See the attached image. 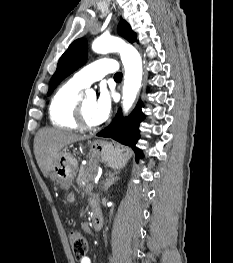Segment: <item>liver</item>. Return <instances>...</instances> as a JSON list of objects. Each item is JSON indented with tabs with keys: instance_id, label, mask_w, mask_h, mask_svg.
<instances>
[{
	"instance_id": "liver-1",
	"label": "liver",
	"mask_w": 233,
	"mask_h": 263,
	"mask_svg": "<svg viewBox=\"0 0 233 263\" xmlns=\"http://www.w3.org/2000/svg\"><path fill=\"white\" fill-rule=\"evenodd\" d=\"M84 139L88 137L67 130L41 129L34 139V153L44 177H48L64 146Z\"/></svg>"
}]
</instances>
